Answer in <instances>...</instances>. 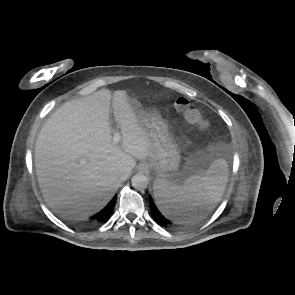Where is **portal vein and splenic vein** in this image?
I'll use <instances>...</instances> for the list:
<instances>
[{"instance_id":"18ae733b","label":"portal vein and splenic vein","mask_w":295,"mask_h":295,"mask_svg":"<svg viewBox=\"0 0 295 295\" xmlns=\"http://www.w3.org/2000/svg\"><path fill=\"white\" fill-rule=\"evenodd\" d=\"M121 138L122 137H121L120 132L114 131V133H113V143L118 144L120 142Z\"/></svg>"}]
</instances>
